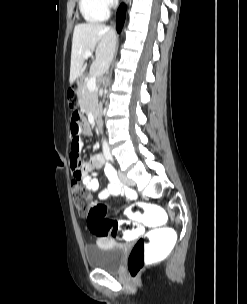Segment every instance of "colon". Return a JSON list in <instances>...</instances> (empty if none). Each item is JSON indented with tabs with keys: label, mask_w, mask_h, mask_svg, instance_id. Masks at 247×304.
Instances as JSON below:
<instances>
[{
	"label": "colon",
	"mask_w": 247,
	"mask_h": 304,
	"mask_svg": "<svg viewBox=\"0 0 247 304\" xmlns=\"http://www.w3.org/2000/svg\"><path fill=\"white\" fill-rule=\"evenodd\" d=\"M68 104L71 109L78 104L73 91L68 92ZM72 193L76 208L80 214L87 216L88 227L93 234L125 238V241H136L138 238L128 258V270L132 277H137L151 259H166V253H172V248H175V227L165 225V221H169V214H166L161 202H135L127 211L129 219L118 221L106 218V206L102 203L92 204L91 195L77 182L72 184ZM139 221L141 225H153L152 229L144 234V227H139L137 223Z\"/></svg>",
	"instance_id": "5ec220e1"
}]
</instances>
